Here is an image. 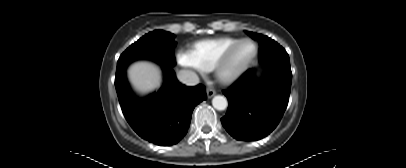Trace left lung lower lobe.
<instances>
[{
  "mask_svg": "<svg viewBox=\"0 0 406 168\" xmlns=\"http://www.w3.org/2000/svg\"><path fill=\"white\" fill-rule=\"evenodd\" d=\"M260 78L256 69L247 70L228 90L223 91L229 106L221 122L237 140H260L280 122L289 100L292 73L290 64L266 62Z\"/></svg>",
  "mask_w": 406,
  "mask_h": 168,
  "instance_id": "obj_1",
  "label": "left lung lower lobe"
}]
</instances>
